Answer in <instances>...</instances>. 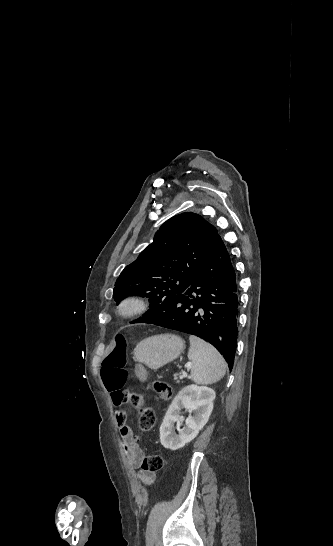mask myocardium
<instances>
[{
	"label": "myocardium",
	"mask_w": 333,
	"mask_h": 546,
	"mask_svg": "<svg viewBox=\"0 0 333 546\" xmlns=\"http://www.w3.org/2000/svg\"><path fill=\"white\" fill-rule=\"evenodd\" d=\"M149 306L150 302L145 295L130 294L117 304L116 314L122 320H130L145 313Z\"/></svg>",
	"instance_id": "myocardium-1"
}]
</instances>
